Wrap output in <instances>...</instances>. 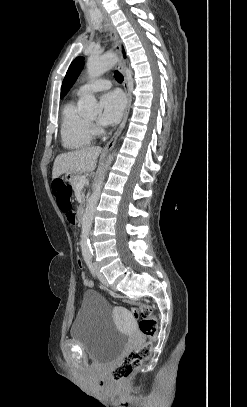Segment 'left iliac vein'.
Listing matches in <instances>:
<instances>
[{
    "instance_id": "obj_1",
    "label": "left iliac vein",
    "mask_w": 247,
    "mask_h": 407,
    "mask_svg": "<svg viewBox=\"0 0 247 407\" xmlns=\"http://www.w3.org/2000/svg\"><path fill=\"white\" fill-rule=\"evenodd\" d=\"M93 266H94L95 272H96V274H97L98 279L100 280V282H101L103 285L108 286V282H107L105 276L100 272V269H99V266L97 265V263H93Z\"/></svg>"
}]
</instances>
